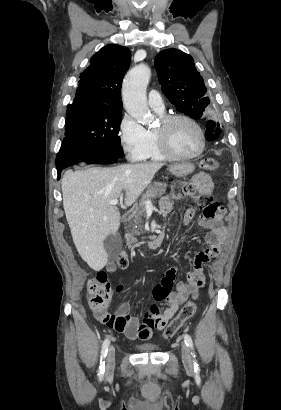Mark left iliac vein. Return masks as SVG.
<instances>
[{
    "label": "left iliac vein",
    "instance_id": "obj_1",
    "mask_svg": "<svg viewBox=\"0 0 281 410\" xmlns=\"http://www.w3.org/2000/svg\"><path fill=\"white\" fill-rule=\"evenodd\" d=\"M182 361L187 370L193 369L192 357L188 346L185 343L181 344Z\"/></svg>",
    "mask_w": 281,
    "mask_h": 410
}]
</instances>
